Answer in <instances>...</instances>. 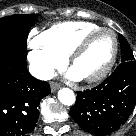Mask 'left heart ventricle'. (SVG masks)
I'll return each mask as SVG.
<instances>
[{
	"instance_id": "left-heart-ventricle-1",
	"label": "left heart ventricle",
	"mask_w": 136,
	"mask_h": 136,
	"mask_svg": "<svg viewBox=\"0 0 136 136\" xmlns=\"http://www.w3.org/2000/svg\"><path fill=\"white\" fill-rule=\"evenodd\" d=\"M114 47L113 37L109 33L98 36L88 49L77 59L73 66L81 77L92 75L102 69L109 61Z\"/></svg>"
}]
</instances>
